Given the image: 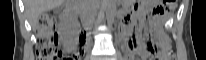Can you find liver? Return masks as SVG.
Returning <instances> with one entry per match:
<instances>
[{"label": "liver", "mask_w": 206, "mask_h": 60, "mask_svg": "<svg viewBox=\"0 0 206 60\" xmlns=\"http://www.w3.org/2000/svg\"><path fill=\"white\" fill-rule=\"evenodd\" d=\"M65 0H25L26 13L32 28H35L39 16L61 6Z\"/></svg>", "instance_id": "liver-1"}]
</instances>
